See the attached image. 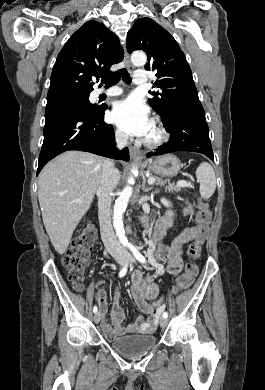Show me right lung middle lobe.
<instances>
[{
	"mask_svg": "<svg viewBox=\"0 0 265 390\" xmlns=\"http://www.w3.org/2000/svg\"><path fill=\"white\" fill-rule=\"evenodd\" d=\"M62 104L80 105L89 109H93L97 107L96 105L90 103L89 94H76V95H69V96H65L53 100H47L46 106L62 105Z\"/></svg>",
	"mask_w": 265,
	"mask_h": 390,
	"instance_id": "dd1d6c3e",
	"label": "right lung middle lobe"
}]
</instances>
